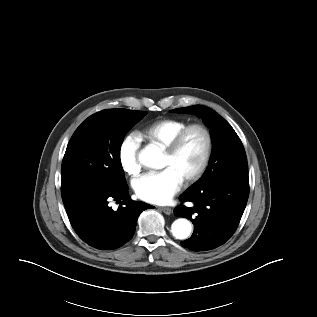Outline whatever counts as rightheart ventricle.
Wrapping results in <instances>:
<instances>
[{
    "mask_svg": "<svg viewBox=\"0 0 317 317\" xmlns=\"http://www.w3.org/2000/svg\"><path fill=\"white\" fill-rule=\"evenodd\" d=\"M187 125L188 122L185 120L164 118L144 128L140 136L150 143L165 149L176 134Z\"/></svg>",
    "mask_w": 317,
    "mask_h": 317,
    "instance_id": "e07e8e85",
    "label": "right heart ventricle"
}]
</instances>
